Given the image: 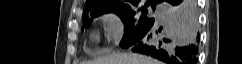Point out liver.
<instances>
[{
	"mask_svg": "<svg viewBox=\"0 0 242 64\" xmlns=\"http://www.w3.org/2000/svg\"><path fill=\"white\" fill-rule=\"evenodd\" d=\"M183 24L188 32L197 34V21L193 19L184 20ZM82 64H161V62L138 53H123L108 55L93 61H85Z\"/></svg>",
	"mask_w": 242,
	"mask_h": 64,
	"instance_id": "obj_1",
	"label": "liver"
}]
</instances>
